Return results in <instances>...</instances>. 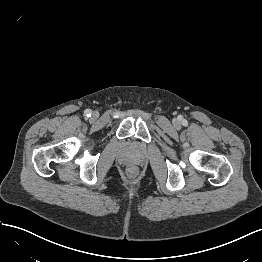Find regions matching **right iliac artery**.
<instances>
[{
    "label": "right iliac artery",
    "instance_id": "obj_1",
    "mask_svg": "<svg viewBox=\"0 0 262 262\" xmlns=\"http://www.w3.org/2000/svg\"><path fill=\"white\" fill-rule=\"evenodd\" d=\"M91 114H92V112H91L90 109H86V110H85V115H86L87 117H91Z\"/></svg>",
    "mask_w": 262,
    "mask_h": 262
}]
</instances>
